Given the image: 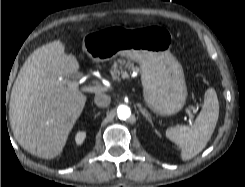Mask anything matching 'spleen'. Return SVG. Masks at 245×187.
Returning <instances> with one entry per match:
<instances>
[{"instance_id":"3e777b00","label":"spleen","mask_w":245,"mask_h":187,"mask_svg":"<svg viewBox=\"0 0 245 187\" xmlns=\"http://www.w3.org/2000/svg\"><path fill=\"white\" fill-rule=\"evenodd\" d=\"M219 117V102L213 88L207 89L201 112L191 126L177 125L166 130V137L181 149L182 160L199 154L210 140Z\"/></svg>"}]
</instances>
